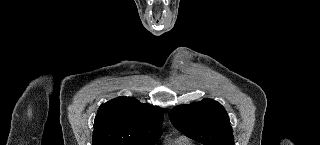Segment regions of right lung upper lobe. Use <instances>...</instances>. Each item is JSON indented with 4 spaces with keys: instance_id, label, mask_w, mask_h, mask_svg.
<instances>
[{
    "instance_id": "right-lung-upper-lobe-1",
    "label": "right lung upper lobe",
    "mask_w": 320,
    "mask_h": 145,
    "mask_svg": "<svg viewBox=\"0 0 320 145\" xmlns=\"http://www.w3.org/2000/svg\"><path fill=\"white\" fill-rule=\"evenodd\" d=\"M163 111L132 97H118L98 109L92 145H152L161 136Z\"/></svg>"
}]
</instances>
